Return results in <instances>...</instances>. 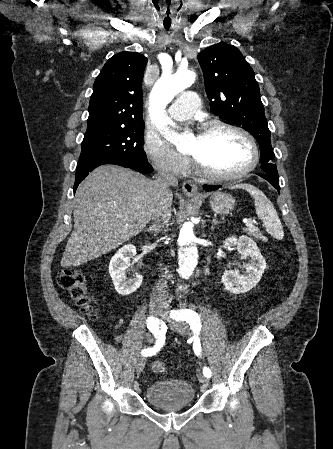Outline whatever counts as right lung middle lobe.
Listing matches in <instances>:
<instances>
[{
  "mask_svg": "<svg viewBox=\"0 0 333 449\" xmlns=\"http://www.w3.org/2000/svg\"><path fill=\"white\" fill-rule=\"evenodd\" d=\"M143 144V122L87 127L80 160L118 158L129 162H147Z\"/></svg>",
  "mask_w": 333,
  "mask_h": 449,
  "instance_id": "1",
  "label": "right lung middle lobe"
}]
</instances>
